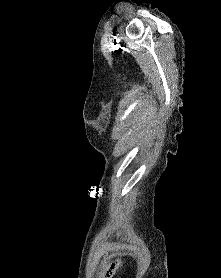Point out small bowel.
Listing matches in <instances>:
<instances>
[{"label":"small bowel","mask_w":221,"mask_h":278,"mask_svg":"<svg viewBox=\"0 0 221 278\" xmlns=\"http://www.w3.org/2000/svg\"><path fill=\"white\" fill-rule=\"evenodd\" d=\"M118 265L116 263H111L110 265L106 266L104 268V274L103 276L105 278H110V275H112L113 273H115V271L117 270Z\"/></svg>","instance_id":"c3829d8e"}]
</instances>
